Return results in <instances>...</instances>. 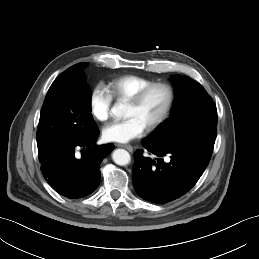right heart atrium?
<instances>
[{"label":"right heart atrium","mask_w":259,"mask_h":259,"mask_svg":"<svg viewBox=\"0 0 259 259\" xmlns=\"http://www.w3.org/2000/svg\"><path fill=\"white\" fill-rule=\"evenodd\" d=\"M112 101L113 98L104 85H95L90 94L92 115L99 121H106L111 114Z\"/></svg>","instance_id":"right-heart-atrium-1"}]
</instances>
